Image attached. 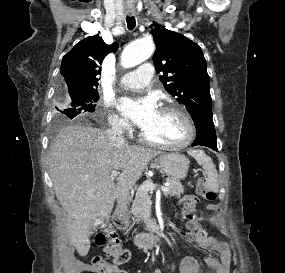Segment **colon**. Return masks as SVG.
Returning <instances> with one entry per match:
<instances>
[{
  "label": "colon",
  "mask_w": 285,
  "mask_h": 273,
  "mask_svg": "<svg viewBox=\"0 0 285 273\" xmlns=\"http://www.w3.org/2000/svg\"><path fill=\"white\" fill-rule=\"evenodd\" d=\"M198 194L207 201L216 199V192L208 186L204 180H200L197 186ZM184 210L183 218L188 230L187 236L189 239L195 237L197 232H204L202 223H196L200 218L196 205L193 201L183 203ZM96 242L104 247L106 253L114 258V263L104 260L100 256H96L92 260V265L96 273H120L118 266L124 265L130 261V252L123 248L120 240L113 230L110 228L99 232L96 236Z\"/></svg>",
  "instance_id": "5ec220e1"
}]
</instances>
